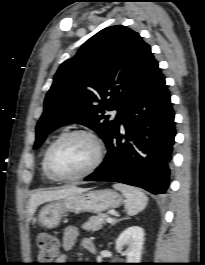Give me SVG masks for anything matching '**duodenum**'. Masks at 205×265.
Instances as JSON below:
<instances>
[{
    "instance_id": "1",
    "label": "duodenum",
    "mask_w": 205,
    "mask_h": 265,
    "mask_svg": "<svg viewBox=\"0 0 205 265\" xmlns=\"http://www.w3.org/2000/svg\"><path fill=\"white\" fill-rule=\"evenodd\" d=\"M88 251L90 253H94L95 252V246L93 245V246L88 247Z\"/></svg>"
}]
</instances>
